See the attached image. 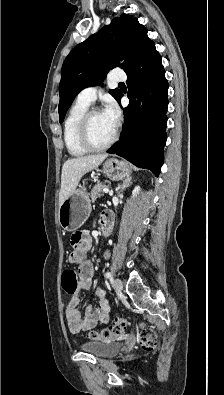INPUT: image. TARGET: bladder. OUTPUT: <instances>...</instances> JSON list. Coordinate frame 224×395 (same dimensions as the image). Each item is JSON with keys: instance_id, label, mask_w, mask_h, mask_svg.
Returning a JSON list of instances; mask_svg holds the SVG:
<instances>
[{"instance_id": "obj_1", "label": "bladder", "mask_w": 224, "mask_h": 395, "mask_svg": "<svg viewBox=\"0 0 224 395\" xmlns=\"http://www.w3.org/2000/svg\"><path fill=\"white\" fill-rule=\"evenodd\" d=\"M80 348L98 358H107L120 352L121 344L112 341H94L86 342L80 345Z\"/></svg>"}]
</instances>
